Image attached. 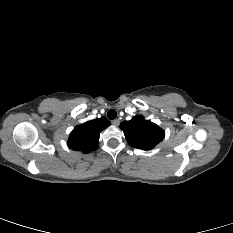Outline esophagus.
Returning <instances> with one entry per match:
<instances>
[{"label":"esophagus","instance_id":"obj_1","mask_svg":"<svg viewBox=\"0 0 233 233\" xmlns=\"http://www.w3.org/2000/svg\"><path fill=\"white\" fill-rule=\"evenodd\" d=\"M119 123H120V121H119L118 119L112 120V124H113L114 126H118Z\"/></svg>","mask_w":233,"mask_h":233}]
</instances>
